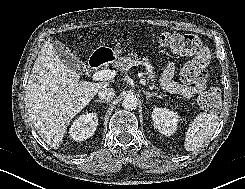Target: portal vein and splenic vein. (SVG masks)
Segmentation results:
<instances>
[{
    "label": "portal vein and splenic vein",
    "instance_id": "18ae733b",
    "mask_svg": "<svg viewBox=\"0 0 245 189\" xmlns=\"http://www.w3.org/2000/svg\"><path fill=\"white\" fill-rule=\"evenodd\" d=\"M137 64V63H136ZM116 73L113 70H109V69H104V70H99L97 72H95L92 76L93 80L95 81H106V80H111L115 77ZM140 82L142 85L146 84L145 79L141 78Z\"/></svg>",
    "mask_w": 245,
    "mask_h": 189
}]
</instances>
